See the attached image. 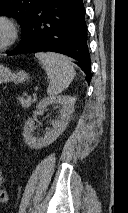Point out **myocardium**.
I'll use <instances>...</instances> for the list:
<instances>
[{
	"instance_id": "f54148a6",
	"label": "myocardium",
	"mask_w": 128,
	"mask_h": 213,
	"mask_svg": "<svg viewBox=\"0 0 128 213\" xmlns=\"http://www.w3.org/2000/svg\"><path fill=\"white\" fill-rule=\"evenodd\" d=\"M0 23L4 24L8 29V38L0 46V52L11 48L20 37V28L17 22L10 16L0 14Z\"/></svg>"
}]
</instances>
